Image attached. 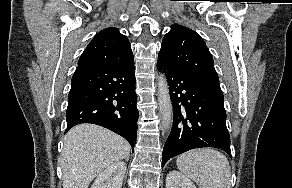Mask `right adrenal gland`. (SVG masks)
Wrapping results in <instances>:
<instances>
[{
  "label": "right adrenal gland",
  "instance_id": "obj_1",
  "mask_svg": "<svg viewBox=\"0 0 292 188\" xmlns=\"http://www.w3.org/2000/svg\"><path fill=\"white\" fill-rule=\"evenodd\" d=\"M127 161L129 160V157H127V159H126Z\"/></svg>",
  "mask_w": 292,
  "mask_h": 188
}]
</instances>
